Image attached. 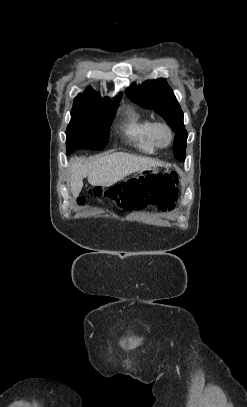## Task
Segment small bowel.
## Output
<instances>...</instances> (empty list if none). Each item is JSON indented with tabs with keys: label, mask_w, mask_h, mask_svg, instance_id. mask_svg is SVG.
Here are the masks:
<instances>
[{
	"label": "small bowel",
	"mask_w": 247,
	"mask_h": 407,
	"mask_svg": "<svg viewBox=\"0 0 247 407\" xmlns=\"http://www.w3.org/2000/svg\"><path fill=\"white\" fill-rule=\"evenodd\" d=\"M147 207H154L160 212L172 211L175 208L174 203H149L143 209Z\"/></svg>",
	"instance_id": "1"
}]
</instances>
